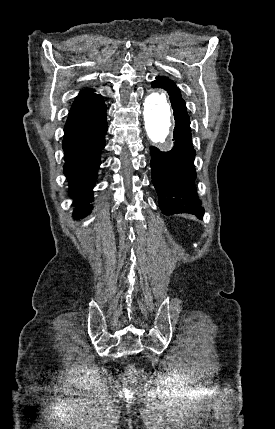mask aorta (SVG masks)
I'll return each mask as SVG.
<instances>
[{"label": "aorta", "mask_w": 275, "mask_h": 429, "mask_svg": "<svg viewBox=\"0 0 275 429\" xmlns=\"http://www.w3.org/2000/svg\"><path fill=\"white\" fill-rule=\"evenodd\" d=\"M144 121L148 137L154 143H162L172 127L171 106L162 89L150 90L144 100Z\"/></svg>", "instance_id": "obj_1"}]
</instances>
